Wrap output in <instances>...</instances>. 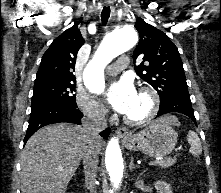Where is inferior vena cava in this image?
Masks as SVG:
<instances>
[{
  "instance_id": "inferior-vena-cava-1",
  "label": "inferior vena cava",
  "mask_w": 221,
  "mask_h": 193,
  "mask_svg": "<svg viewBox=\"0 0 221 193\" xmlns=\"http://www.w3.org/2000/svg\"><path fill=\"white\" fill-rule=\"evenodd\" d=\"M105 114L103 108L92 109L87 112V116L82 120V128L87 137L82 159L85 180L90 193H96L95 184L99 162L97 140L100 138L99 133L107 127Z\"/></svg>"
}]
</instances>
